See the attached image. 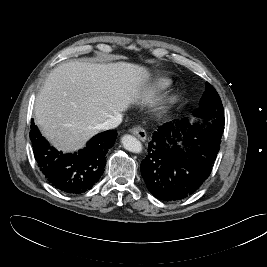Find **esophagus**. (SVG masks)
<instances>
[{"label": "esophagus", "instance_id": "34e87169", "mask_svg": "<svg viewBox=\"0 0 267 267\" xmlns=\"http://www.w3.org/2000/svg\"><path fill=\"white\" fill-rule=\"evenodd\" d=\"M130 133L132 135H134L135 137H137L141 141L146 140L147 134H146L145 130L143 128H141L140 126H135V127L131 128Z\"/></svg>", "mask_w": 267, "mask_h": 267}]
</instances>
